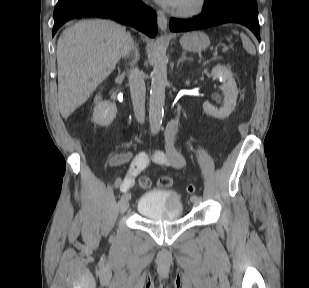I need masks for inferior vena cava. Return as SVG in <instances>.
Here are the masks:
<instances>
[{"mask_svg":"<svg viewBox=\"0 0 309 288\" xmlns=\"http://www.w3.org/2000/svg\"><path fill=\"white\" fill-rule=\"evenodd\" d=\"M132 48L134 49L133 41L129 36L121 47L120 56L127 57L130 54ZM138 56V52L135 50V59L132 61L131 69L129 70V84L135 118L139 123H144L146 88L143 74L135 66Z\"/></svg>","mask_w":309,"mask_h":288,"instance_id":"602c4592","label":"inferior vena cava"}]
</instances>
